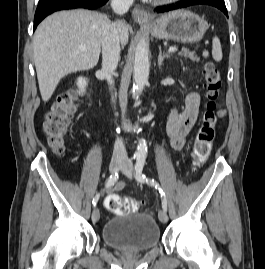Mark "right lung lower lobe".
<instances>
[{"instance_id": "98d812e1", "label": "right lung lower lobe", "mask_w": 265, "mask_h": 269, "mask_svg": "<svg viewBox=\"0 0 265 269\" xmlns=\"http://www.w3.org/2000/svg\"><path fill=\"white\" fill-rule=\"evenodd\" d=\"M108 0H40L34 17V30L49 14L74 8L95 9L107 3Z\"/></svg>"}]
</instances>
